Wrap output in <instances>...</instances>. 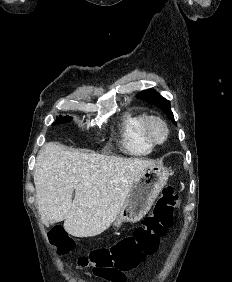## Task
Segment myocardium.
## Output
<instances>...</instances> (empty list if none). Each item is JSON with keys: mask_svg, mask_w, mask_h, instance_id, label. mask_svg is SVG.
<instances>
[{"mask_svg": "<svg viewBox=\"0 0 232 282\" xmlns=\"http://www.w3.org/2000/svg\"><path fill=\"white\" fill-rule=\"evenodd\" d=\"M156 124L161 126L163 129L164 134L161 139L156 138L153 134V126ZM141 131L144 139L152 146L164 144L168 140L170 134L167 122L162 117L157 115L146 116L143 121Z\"/></svg>", "mask_w": 232, "mask_h": 282, "instance_id": "f54148a6", "label": "myocardium"}]
</instances>
